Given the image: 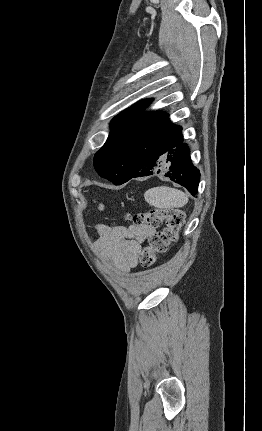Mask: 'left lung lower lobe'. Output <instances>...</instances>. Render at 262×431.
<instances>
[{
	"label": "left lung lower lobe",
	"mask_w": 262,
	"mask_h": 431,
	"mask_svg": "<svg viewBox=\"0 0 262 431\" xmlns=\"http://www.w3.org/2000/svg\"><path fill=\"white\" fill-rule=\"evenodd\" d=\"M154 173L165 174L193 196L196 195L200 173L192 164L189 147L183 143L181 127L155 139L150 147L138 150L132 160V172L128 180Z\"/></svg>",
	"instance_id": "1"
}]
</instances>
